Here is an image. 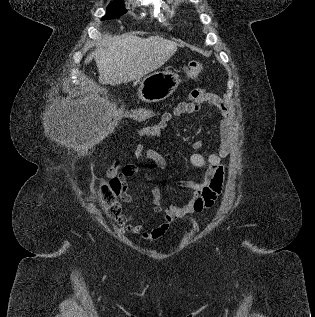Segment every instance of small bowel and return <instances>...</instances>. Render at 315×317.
<instances>
[{
    "label": "small bowel",
    "mask_w": 315,
    "mask_h": 317,
    "mask_svg": "<svg viewBox=\"0 0 315 317\" xmlns=\"http://www.w3.org/2000/svg\"><path fill=\"white\" fill-rule=\"evenodd\" d=\"M204 104L216 108L222 115L219 127L220 140L216 153L203 155L194 152L190 155V163L194 167L206 168L198 182L192 180L178 181L179 186L192 192L191 198L181 206H164L159 186L156 183L152 184L150 188L152 209L153 212L162 214L161 221L156 225L147 226L138 222L132 215L122 216L119 224L128 233L136 234L144 240H159L167 233L172 222L210 208L220 194L224 176L222 160L230 154L232 148V120L228 108L216 96L204 89L194 90L188 100L179 103L172 112L163 113L158 122L140 128L137 134L139 137L158 138L173 118L197 112ZM193 147L199 149L203 147V143L196 141L193 143ZM133 155L153 162L160 170L166 168L165 158L159 152L144 144H136L133 148ZM138 172L139 167L137 165H122L119 160H115L106 172L110 181L116 180L119 182V194L126 202L134 200V196L128 193L127 180Z\"/></svg>",
    "instance_id": "small-bowel-1"
}]
</instances>
